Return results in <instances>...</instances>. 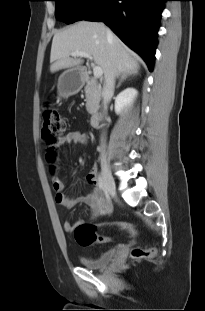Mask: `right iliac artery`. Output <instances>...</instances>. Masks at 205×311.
I'll return each mask as SVG.
<instances>
[{
  "instance_id": "right-iliac-artery-1",
  "label": "right iliac artery",
  "mask_w": 205,
  "mask_h": 311,
  "mask_svg": "<svg viewBox=\"0 0 205 311\" xmlns=\"http://www.w3.org/2000/svg\"><path fill=\"white\" fill-rule=\"evenodd\" d=\"M98 181H99V183H98L99 189L101 191H103L104 190V184H103V177L101 175L98 176Z\"/></svg>"
}]
</instances>
